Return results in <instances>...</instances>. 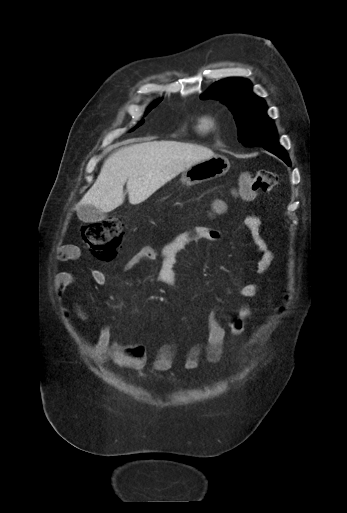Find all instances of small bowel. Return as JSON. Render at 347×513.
Returning a JSON list of instances; mask_svg holds the SVG:
<instances>
[{"mask_svg":"<svg viewBox=\"0 0 347 513\" xmlns=\"http://www.w3.org/2000/svg\"><path fill=\"white\" fill-rule=\"evenodd\" d=\"M243 226L247 229L255 250L260 254L257 261V274L262 276L273 262L274 254L261 233V220L259 217L254 215L247 216L243 221ZM221 239L222 232L217 229L206 226H194L179 234L173 241L165 245L160 252H156L147 246L142 247L128 260L123 269L128 272L159 258L160 267L157 275L160 281L170 289L177 290L178 284L174 272L177 254L192 242L201 240L216 242ZM77 251L78 249L74 246L63 247L59 251L60 260H72L74 257L73 253ZM91 277L97 285H104L106 282V277L102 270H93ZM73 284V275L66 271L58 272L53 278V287L56 293H62ZM258 291V281H245L238 286L239 294L246 298L255 297ZM222 311L221 308H215L211 312L207 325L205 345L198 344L186 353L183 363L184 369H197L203 353L208 362L218 363L223 354L226 336L237 337L241 335L245 330V322L253 315V308L242 303L232 310L231 315L228 316L227 324L224 325L220 321ZM76 314L81 320H87L86 314L79 308L76 310ZM87 352L93 362L104 363L111 360L118 367L133 371L143 369L148 360L145 345L142 343L125 345L115 342L111 339L110 328L105 325L99 328L97 339L89 346ZM174 361V348L171 345H165L154 355L153 369L157 372L169 371L172 369Z\"/></svg>","mask_w":347,"mask_h":513,"instance_id":"c3829d8e","label":"small bowel"}]
</instances>
